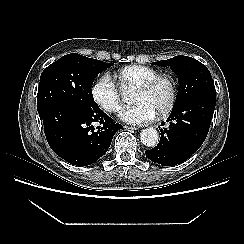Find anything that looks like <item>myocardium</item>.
<instances>
[{"instance_id":"1","label":"myocardium","mask_w":244,"mask_h":244,"mask_svg":"<svg viewBox=\"0 0 244 244\" xmlns=\"http://www.w3.org/2000/svg\"><path fill=\"white\" fill-rule=\"evenodd\" d=\"M161 81H167L169 83L170 97L166 106L157 113V116L159 118H163L169 115L176 104L178 97V85L176 79L171 74L159 73L158 75L154 76L153 78L149 79L148 81L136 88V91L139 92H149L153 90L156 85Z\"/></svg>"}]
</instances>
